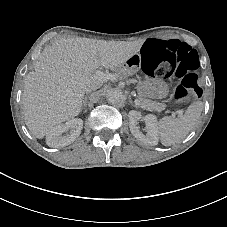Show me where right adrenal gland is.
Instances as JSON below:
<instances>
[{
	"mask_svg": "<svg viewBox=\"0 0 227 227\" xmlns=\"http://www.w3.org/2000/svg\"><path fill=\"white\" fill-rule=\"evenodd\" d=\"M83 108H84V111L86 112L87 111V97H85V99H84Z\"/></svg>",
	"mask_w": 227,
	"mask_h": 227,
	"instance_id": "right-adrenal-gland-1",
	"label": "right adrenal gland"
}]
</instances>
